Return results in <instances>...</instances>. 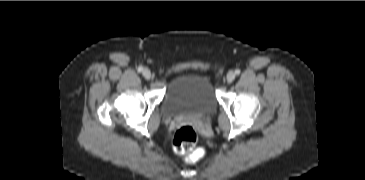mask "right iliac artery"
I'll return each instance as SVG.
<instances>
[{"instance_id":"obj_1","label":"right iliac artery","mask_w":365,"mask_h":180,"mask_svg":"<svg viewBox=\"0 0 365 180\" xmlns=\"http://www.w3.org/2000/svg\"><path fill=\"white\" fill-rule=\"evenodd\" d=\"M137 70H138V72H142L143 71V67L142 66H139Z\"/></svg>"}]
</instances>
